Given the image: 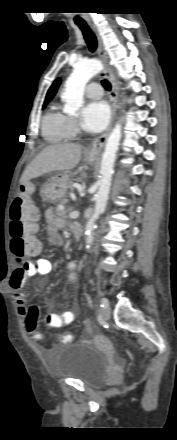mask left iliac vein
Segmentation results:
<instances>
[{
	"mask_svg": "<svg viewBox=\"0 0 177 440\" xmlns=\"http://www.w3.org/2000/svg\"><path fill=\"white\" fill-rule=\"evenodd\" d=\"M101 315H102V318H103L104 320H108V319L110 318L111 311H110L109 304H107V305L103 308V310H102V312H101Z\"/></svg>",
	"mask_w": 177,
	"mask_h": 440,
	"instance_id": "obj_1",
	"label": "left iliac vein"
}]
</instances>
